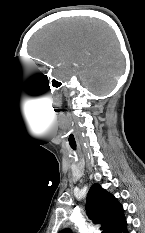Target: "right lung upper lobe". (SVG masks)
<instances>
[{"label":"right lung upper lobe","mask_w":145,"mask_h":233,"mask_svg":"<svg viewBox=\"0 0 145 233\" xmlns=\"http://www.w3.org/2000/svg\"><path fill=\"white\" fill-rule=\"evenodd\" d=\"M86 212L93 223L102 224L103 233H111L125 219L122 205L97 183L88 193ZM59 233H71V230L64 229Z\"/></svg>","instance_id":"obj_1"}]
</instances>
